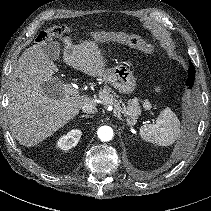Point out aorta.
Instances as JSON below:
<instances>
[{
	"label": "aorta",
	"instance_id": "obj_1",
	"mask_svg": "<svg viewBox=\"0 0 211 211\" xmlns=\"http://www.w3.org/2000/svg\"><path fill=\"white\" fill-rule=\"evenodd\" d=\"M97 135L101 141L107 142L112 140L114 132L113 129L109 126H101L97 131Z\"/></svg>",
	"mask_w": 211,
	"mask_h": 211
}]
</instances>
